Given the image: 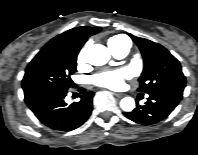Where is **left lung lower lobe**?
Here are the masks:
<instances>
[{
    "instance_id": "1",
    "label": "left lung lower lobe",
    "mask_w": 198,
    "mask_h": 155,
    "mask_svg": "<svg viewBox=\"0 0 198 155\" xmlns=\"http://www.w3.org/2000/svg\"><path fill=\"white\" fill-rule=\"evenodd\" d=\"M183 93L176 91H157L149 94L145 105H137L132 112L123 114L130 120L143 125H151L165 119L178 105Z\"/></svg>"
}]
</instances>
